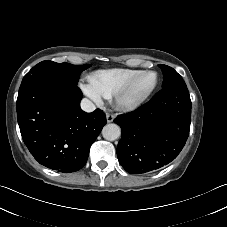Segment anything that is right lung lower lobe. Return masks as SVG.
Returning a JSON list of instances; mask_svg holds the SVG:
<instances>
[{"label":"right lung lower lobe","mask_w":227,"mask_h":227,"mask_svg":"<svg viewBox=\"0 0 227 227\" xmlns=\"http://www.w3.org/2000/svg\"><path fill=\"white\" fill-rule=\"evenodd\" d=\"M82 92L62 78L40 75L21 83L17 119L22 139L34 158L59 172H75L87 162L105 114L80 108Z\"/></svg>","instance_id":"right-lung-lower-lobe-1"}]
</instances>
